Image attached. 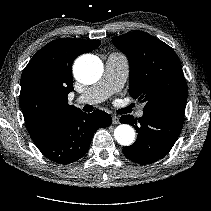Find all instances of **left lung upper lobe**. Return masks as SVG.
<instances>
[{
  "label": "left lung upper lobe",
  "instance_id": "1",
  "mask_svg": "<svg viewBox=\"0 0 211 211\" xmlns=\"http://www.w3.org/2000/svg\"><path fill=\"white\" fill-rule=\"evenodd\" d=\"M112 42L129 59V93L145 103L143 110L185 108L187 85L180 60L170 46L142 31L116 36Z\"/></svg>",
  "mask_w": 211,
  "mask_h": 211
}]
</instances>
